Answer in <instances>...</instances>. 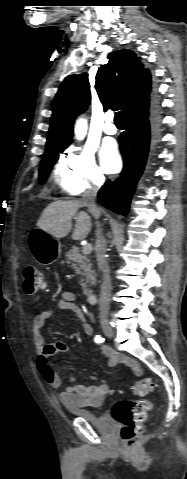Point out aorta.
I'll list each match as a JSON object with an SVG mask.
<instances>
[{
  "mask_svg": "<svg viewBox=\"0 0 187 479\" xmlns=\"http://www.w3.org/2000/svg\"><path fill=\"white\" fill-rule=\"evenodd\" d=\"M87 132V122L86 120L80 118L75 125V136L78 140H82Z\"/></svg>",
  "mask_w": 187,
  "mask_h": 479,
  "instance_id": "762f6f07",
  "label": "aorta"
}]
</instances>
